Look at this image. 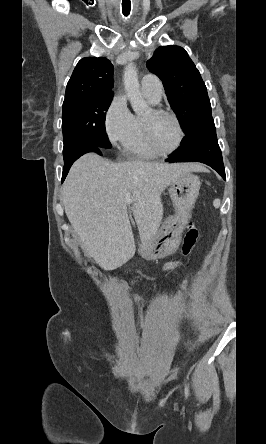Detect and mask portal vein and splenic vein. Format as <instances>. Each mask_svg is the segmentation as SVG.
Listing matches in <instances>:
<instances>
[{
	"instance_id": "18ae733b",
	"label": "portal vein and splenic vein",
	"mask_w": 266,
	"mask_h": 444,
	"mask_svg": "<svg viewBox=\"0 0 266 444\" xmlns=\"http://www.w3.org/2000/svg\"><path fill=\"white\" fill-rule=\"evenodd\" d=\"M125 202H127V203H131L130 193H126V196H125Z\"/></svg>"
}]
</instances>
